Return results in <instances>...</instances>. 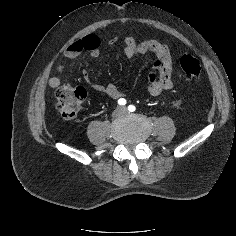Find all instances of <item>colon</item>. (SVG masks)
<instances>
[{
    "instance_id": "colon-1",
    "label": "colon",
    "mask_w": 236,
    "mask_h": 236,
    "mask_svg": "<svg viewBox=\"0 0 236 236\" xmlns=\"http://www.w3.org/2000/svg\"><path fill=\"white\" fill-rule=\"evenodd\" d=\"M179 67L181 76L186 79L198 78L202 70L198 59L191 55L183 56ZM56 97V109L60 116L65 120H72L78 114L86 97V92L82 88L62 84L57 88Z\"/></svg>"
}]
</instances>
